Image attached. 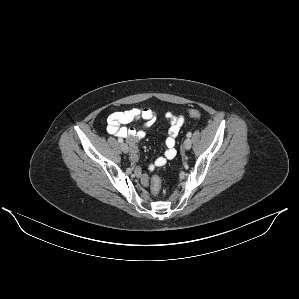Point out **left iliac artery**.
<instances>
[{
  "instance_id": "44dca946",
  "label": "left iliac artery",
  "mask_w": 299,
  "mask_h": 299,
  "mask_svg": "<svg viewBox=\"0 0 299 299\" xmlns=\"http://www.w3.org/2000/svg\"><path fill=\"white\" fill-rule=\"evenodd\" d=\"M191 135H192L191 132H188V133H187V137H188V138L191 137Z\"/></svg>"
}]
</instances>
